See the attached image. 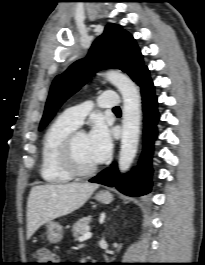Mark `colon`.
I'll return each instance as SVG.
<instances>
[{
  "label": "colon",
  "mask_w": 205,
  "mask_h": 265,
  "mask_svg": "<svg viewBox=\"0 0 205 265\" xmlns=\"http://www.w3.org/2000/svg\"><path fill=\"white\" fill-rule=\"evenodd\" d=\"M36 259L38 261V265H55L57 256L52 251L42 248L36 252Z\"/></svg>",
  "instance_id": "1"
}]
</instances>
